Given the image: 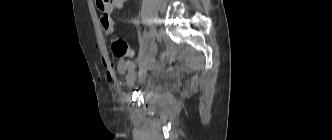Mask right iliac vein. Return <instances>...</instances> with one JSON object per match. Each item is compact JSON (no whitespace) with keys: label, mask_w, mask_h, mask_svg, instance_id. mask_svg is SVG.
<instances>
[{"label":"right iliac vein","mask_w":332,"mask_h":140,"mask_svg":"<svg viewBox=\"0 0 332 140\" xmlns=\"http://www.w3.org/2000/svg\"><path fill=\"white\" fill-rule=\"evenodd\" d=\"M155 35H156L155 30L152 29L151 34H150V45H153L154 40H155Z\"/></svg>","instance_id":"1"}]
</instances>
